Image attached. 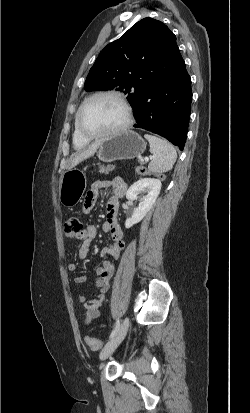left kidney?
<instances>
[{"mask_svg":"<svg viewBox=\"0 0 250 413\" xmlns=\"http://www.w3.org/2000/svg\"><path fill=\"white\" fill-rule=\"evenodd\" d=\"M161 190V181L155 178H142L132 184L126 193L128 200H136L140 193H146L140 199L138 206L130 218L125 221V227L130 228L139 223L152 208Z\"/></svg>","mask_w":250,"mask_h":413,"instance_id":"1","label":"left kidney"}]
</instances>
